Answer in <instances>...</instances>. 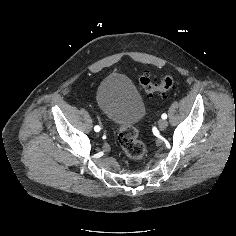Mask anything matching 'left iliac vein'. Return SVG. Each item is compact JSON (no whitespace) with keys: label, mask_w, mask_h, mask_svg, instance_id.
<instances>
[{"label":"left iliac vein","mask_w":236,"mask_h":236,"mask_svg":"<svg viewBox=\"0 0 236 236\" xmlns=\"http://www.w3.org/2000/svg\"><path fill=\"white\" fill-rule=\"evenodd\" d=\"M168 126V122L165 119H161L158 123V127L161 131L165 130Z\"/></svg>","instance_id":"4c4485c4"}]
</instances>
